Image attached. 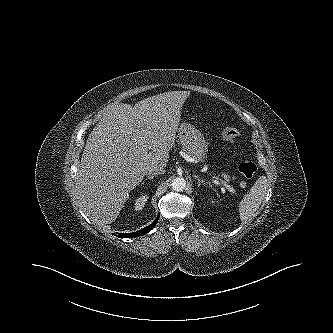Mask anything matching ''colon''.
<instances>
[{"label": "colon", "mask_w": 333, "mask_h": 333, "mask_svg": "<svg viewBox=\"0 0 333 333\" xmlns=\"http://www.w3.org/2000/svg\"><path fill=\"white\" fill-rule=\"evenodd\" d=\"M239 136L238 129L233 125H226L222 131V137L225 141L231 142ZM238 171L246 178H252L256 173L255 163L249 160H241L237 165Z\"/></svg>", "instance_id": "colon-1"}]
</instances>
